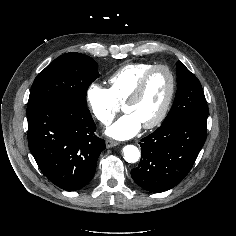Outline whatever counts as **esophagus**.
Returning a JSON list of instances; mask_svg holds the SVG:
<instances>
[{
	"instance_id": "34e87169",
	"label": "esophagus",
	"mask_w": 236,
	"mask_h": 236,
	"mask_svg": "<svg viewBox=\"0 0 236 236\" xmlns=\"http://www.w3.org/2000/svg\"><path fill=\"white\" fill-rule=\"evenodd\" d=\"M117 145H119V143L116 142V141H113V140H110V139L106 140V147L107 148H111V147H114V146H117Z\"/></svg>"
}]
</instances>
